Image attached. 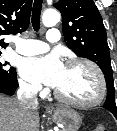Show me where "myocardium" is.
Instances as JSON below:
<instances>
[{
    "mask_svg": "<svg viewBox=\"0 0 117 131\" xmlns=\"http://www.w3.org/2000/svg\"><path fill=\"white\" fill-rule=\"evenodd\" d=\"M74 65L86 66L94 73V75L97 78L98 86H99V91H98L96 98L91 101H87V102L77 101V100H73V99H70V98L64 96L57 89L54 90L55 97L59 101L65 103V104L75 106L78 108L89 109V108H94V107L100 105L103 102V100L105 99L106 91H107L106 81H105V78H104V75H103L101 69L95 63H93L89 60H86V59H80V58L70 59L66 62V66H74Z\"/></svg>",
    "mask_w": 117,
    "mask_h": 131,
    "instance_id": "obj_1",
    "label": "myocardium"
}]
</instances>
